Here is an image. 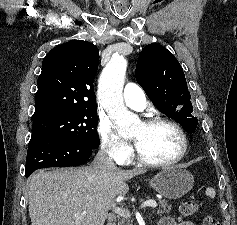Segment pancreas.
Listing matches in <instances>:
<instances>
[{
	"label": "pancreas",
	"mask_w": 237,
	"mask_h": 225,
	"mask_svg": "<svg viewBox=\"0 0 237 225\" xmlns=\"http://www.w3.org/2000/svg\"><path fill=\"white\" fill-rule=\"evenodd\" d=\"M158 207L157 214L169 213L171 210V206L166 200H159ZM118 225H132V222L127 218H122L118 221Z\"/></svg>",
	"instance_id": "pancreas-1"
}]
</instances>
